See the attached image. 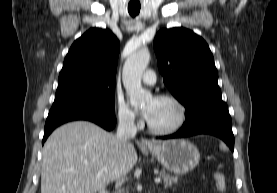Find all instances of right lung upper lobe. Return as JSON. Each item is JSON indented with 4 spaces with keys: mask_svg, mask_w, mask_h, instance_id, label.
I'll use <instances>...</instances> for the list:
<instances>
[{
    "mask_svg": "<svg viewBox=\"0 0 277 193\" xmlns=\"http://www.w3.org/2000/svg\"><path fill=\"white\" fill-rule=\"evenodd\" d=\"M120 42L108 29L91 28L71 46L57 92L86 86H114Z\"/></svg>",
    "mask_w": 277,
    "mask_h": 193,
    "instance_id": "1",
    "label": "right lung upper lobe"
}]
</instances>
